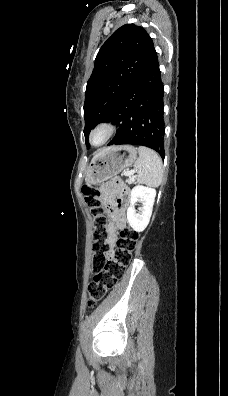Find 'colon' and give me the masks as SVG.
Returning a JSON list of instances; mask_svg holds the SVG:
<instances>
[{
    "label": "colon",
    "instance_id": "1",
    "mask_svg": "<svg viewBox=\"0 0 228 396\" xmlns=\"http://www.w3.org/2000/svg\"><path fill=\"white\" fill-rule=\"evenodd\" d=\"M121 188L123 196L128 190L122 180L114 179ZM81 192L93 218V257L92 268L96 271L93 282L88 288V304L94 306L115 287L123 276L125 267L132 260V253L136 249L138 233L131 229L121 232L116 250L110 246L111 232L108 228V218L105 214L100 198V188L97 185H84Z\"/></svg>",
    "mask_w": 228,
    "mask_h": 396
}]
</instances>
